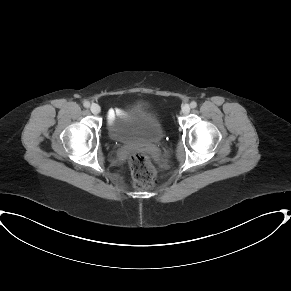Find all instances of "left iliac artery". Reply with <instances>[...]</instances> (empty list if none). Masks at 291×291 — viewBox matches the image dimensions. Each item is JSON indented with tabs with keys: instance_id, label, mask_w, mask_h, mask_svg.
Returning a JSON list of instances; mask_svg holds the SVG:
<instances>
[{
	"instance_id": "44dca946",
	"label": "left iliac artery",
	"mask_w": 291,
	"mask_h": 291,
	"mask_svg": "<svg viewBox=\"0 0 291 291\" xmlns=\"http://www.w3.org/2000/svg\"><path fill=\"white\" fill-rule=\"evenodd\" d=\"M190 107H191V108H196V107H197V103H196L195 101H192V102L190 103Z\"/></svg>"
}]
</instances>
